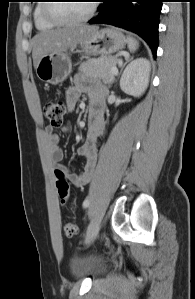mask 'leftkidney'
Listing matches in <instances>:
<instances>
[{
  "instance_id": "obj_1",
  "label": "left kidney",
  "mask_w": 195,
  "mask_h": 299,
  "mask_svg": "<svg viewBox=\"0 0 195 299\" xmlns=\"http://www.w3.org/2000/svg\"><path fill=\"white\" fill-rule=\"evenodd\" d=\"M150 62L146 58H137L125 68L121 79L120 88L126 94L140 97L148 87Z\"/></svg>"
}]
</instances>
